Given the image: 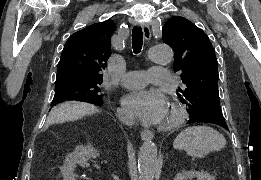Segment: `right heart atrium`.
Segmentation results:
<instances>
[{
  "label": "right heart atrium",
  "instance_id": "d8ad5b80",
  "mask_svg": "<svg viewBox=\"0 0 261 180\" xmlns=\"http://www.w3.org/2000/svg\"><path fill=\"white\" fill-rule=\"evenodd\" d=\"M119 112L121 113V115H124V112H123V110H119ZM125 119H126V121H128V118L125 116Z\"/></svg>",
  "mask_w": 261,
  "mask_h": 180
}]
</instances>
